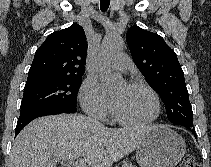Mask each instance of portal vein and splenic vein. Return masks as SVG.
I'll return each mask as SVG.
<instances>
[{
	"instance_id": "1",
	"label": "portal vein and splenic vein",
	"mask_w": 211,
	"mask_h": 167,
	"mask_svg": "<svg viewBox=\"0 0 211 167\" xmlns=\"http://www.w3.org/2000/svg\"><path fill=\"white\" fill-rule=\"evenodd\" d=\"M67 165L68 167H85L82 159L76 161H69Z\"/></svg>"
}]
</instances>
